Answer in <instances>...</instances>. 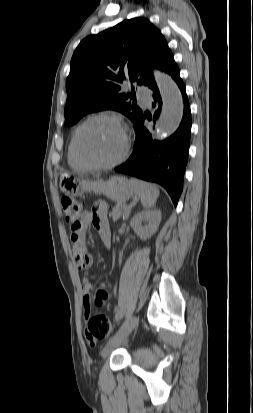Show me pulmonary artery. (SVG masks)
<instances>
[{"label":"pulmonary artery","instance_id":"obj_1","mask_svg":"<svg viewBox=\"0 0 253 413\" xmlns=\"http://www.w3.org/2000/svg\"><path fill=\"white\" fill-rule=\"evenodd\" d=\"M138 97L144 106H149L151 103V94L147 88L140 87L137 91Z\"/></svg>","mask_w":253,"mask_h":413}]
</instances>
